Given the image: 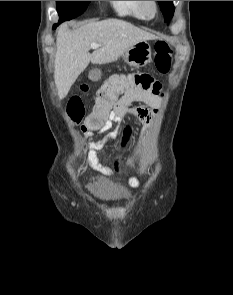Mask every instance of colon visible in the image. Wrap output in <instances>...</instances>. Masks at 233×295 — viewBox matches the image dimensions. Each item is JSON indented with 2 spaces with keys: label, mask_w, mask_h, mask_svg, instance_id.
Segmentation results:
<instances>
[{
  "label": "colon",
  "mask_w": 233,
  "mask_h": 295,
  "mask_svg": "<svg viewBox=\"0 0 233 295\" xmlns=\"http://www.w3.org/2000/svg\"><path fill=\"white\" fill-rule=\"evenodd\" d=\"M155 65L159 72L167 73L171 66L172 49L166 41L155 44ZM83 91L87 86H81ZM162 84L150 74L135 72L109 78L98 91L95 104L85 118L84 130L101 127L107 119L112 105L122 97H135L141 94H161ZM67 113L72 121L80 122L85 117V107L80 97H72L67 104Z\"/></svg>",
  "instance_id": "obj_1"
}]
</instances>
